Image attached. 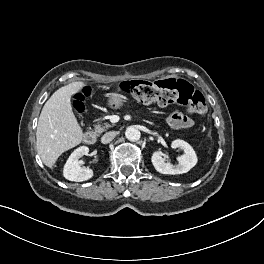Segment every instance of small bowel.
I'll return each instance as SVG.
<instances>
[{
    "label": "small bowel",
    "mask_w": 264,
    "mask_h": 264,
    "mask_svg": "<svg viewBox=\"0 0 264 264\" xmlns=\"http://www.w3.org/2000/svg\"><path fill=\"white\" fill-rule=\"evenodd\" d=\"M169 125L175 129H188L193 126V121L180 112H174L167 119Z\"/></svg>",
    "instance_id": "c3829d8e"
}]
</instances>
